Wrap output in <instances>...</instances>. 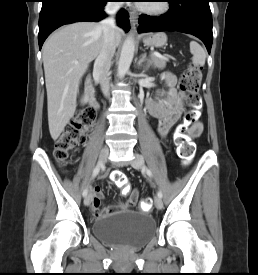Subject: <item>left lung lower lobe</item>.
I'll return each instance as SVG.
<instances>
[{
    "mask_svg": "<svg viewBox=\"0 0 258 275\" xmlns=\"http://www.w3.org/2000/svg\"><path fill=\"white\" fill-rule=\"evenodd\" d=\"M209 1L169 0L170 10L162 16H140L139 31H180L192 34L203 41L210 53L213 33Z\"/></svg>",
    "mask_w": 258,
    "mask_h": 275,
    "instance_id": "0a47b994",
    "label": "left lung lower lobe"
}]
</instances>
